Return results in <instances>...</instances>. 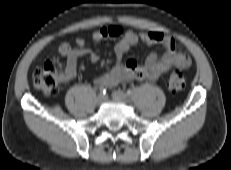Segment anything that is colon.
<instances>
[{
    "mask_svg": "<svg viewBox=\"0 0 231 170\" xmlns=\"http://www.w3.org/2000/svg\"><path fill=\"white\" fill-rule=\"evenodd\" d=\"M69 44L60 47V53L66 55L70 50ZM63 72L59 71L52 61L46 62L33 74L34 86L46 96H54L59 92V83ZM185 87V78L180 69H174L168 80V88L171 92H179Z\"/></svg>",
    "mask_w": 231,
    "mask_h": 170,
    "instance_id": "colon-1",
    "label": "colon"
}]
</instances>
